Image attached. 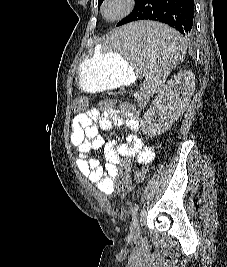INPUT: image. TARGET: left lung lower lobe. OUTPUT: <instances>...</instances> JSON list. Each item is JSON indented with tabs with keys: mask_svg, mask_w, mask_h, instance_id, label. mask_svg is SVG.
Segmentation results:
<instances>
[{
	"mask_svg": "<svg viewBox=\"0 0 227 267\" xmlns=\"http://www.w3.org/2000/svg\"><path fill=\"white\" fill-rule=\"evenodd\" d=\"M133 11L119 21L121 26L137 20H153L168 24L184 36L194 33V0H135ZM149 45L169 47L171 42L149 38Z\"/></svg>",
	"mask_w": 227,
	"mask_h": 267,
	"instance_id": "1",
	"label": "left lung lower lobe"
}]
</instances>
